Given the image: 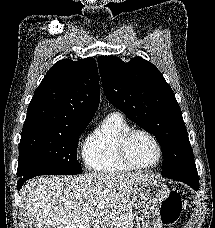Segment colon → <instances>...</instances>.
I'll return each instance as SVG.
<instances>
[{
	"label": "colon",
	"mask_w": 215,
	"mask_h": 228,
	"mask_svg": "<svg viewBox=\"0 0 215 228\" xmlns=\"http://www.w3.org/2000/svg\"><path fill=\"white\" fill-rule=\"evenodd\" d=\"M182 211V200L178 192H171L162 202L160 218L164 226L170 227L176 224Z\"/></svg>",
	"instance_id": "obj_1"
}]
</instances>
